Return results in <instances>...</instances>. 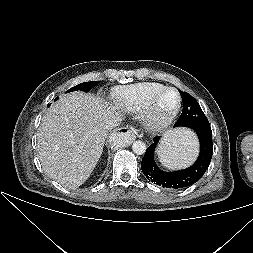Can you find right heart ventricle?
Here are the masks:
<instances>
[{
  "mask_svg": "<svg viewBox=\"0 0 253 253\" xmlns=\"http://www.w3.org/2000/svg\"><path fill=\"white\" fill-rule=\"evenodd\" d=\"M166 86L157 82H142L117 87L114 91L116 104L130 113H141L148 100Z\"/></svg>",
  "mask_w": 253,
  "mask_h": 253,
  "instance_id": "1",
  "label": "right heart ventricle"
}]
</instances>
